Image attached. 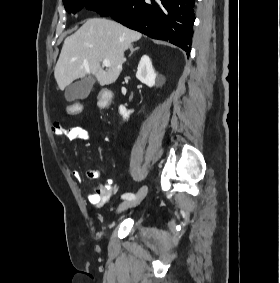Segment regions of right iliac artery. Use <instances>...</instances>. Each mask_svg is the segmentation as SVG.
Returning <instances> with one entry per match:
<instances>
[{"label": "right iliac artery", "instance_id": "obj_1", "mask_svg": "<svg viewBox=\"0 0 280 283\" xmlns=\"http://www.w3.org/2000/svg\"><path fill=\"white\" fill-rule=\"evenodd\" d=\"M122 199H126V200H129V199H133L135 198V195L133 193H124L122 196H121Z\"/></svg>", "mask_w": 280, "mask_h": 283}]
</instances>
